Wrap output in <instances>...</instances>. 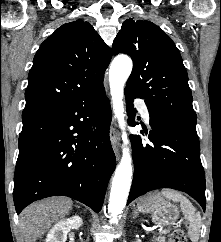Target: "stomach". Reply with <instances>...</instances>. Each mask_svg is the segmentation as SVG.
<instances>
[{
	"instance_id": "0dacf381",
	"label": "stomach",
	"mask_w": 221,
	"mask_h": 242,
	"mask_svg": "<svg viewBox=\"0 0 221 242\" xmlns=\"http://www.w3.org/2000/svg\"><path fill=\"white\" fill-rule=\"evenodd\" d=\"M137 210L142 213H150L153 222L161 225H172L179 216L178 207L159 194H150L141 198L137 203Z\"/></svg>"
}]
</instances>
